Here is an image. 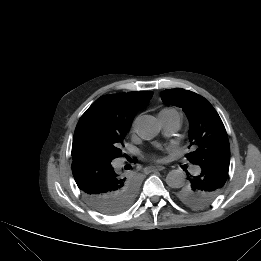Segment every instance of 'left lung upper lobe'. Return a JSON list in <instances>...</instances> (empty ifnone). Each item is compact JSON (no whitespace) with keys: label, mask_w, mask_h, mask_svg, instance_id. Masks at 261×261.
Instances as JSON below:
<instances>
[{"label":"left lung upper lobe","mask_w":261,"mask_h":261,"mask_svg":"<svg viewBox=\"0 0 261 261\" xmlns=\"http://www.w3.org/2000/svg\"><path fill=\"white\" fill-rule=\"evenodd\" d=\"M161 98L166 104L181 107L188 116L189 140L196 148L187 155L192 164L200 166L207 161L230 162V146L225 127L208 100L184 89L165 90ZM176 196L194 209L204 208L216 198L206 197L202 192L192 190L188 184L180 187Z\"/></svg>","instance_id":"1"}]
</instances>
